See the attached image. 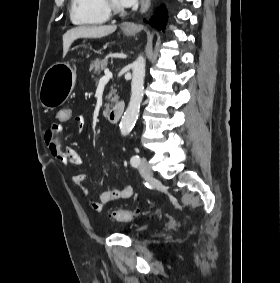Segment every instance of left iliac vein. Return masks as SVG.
I'll return each instance as SVG.
<instances>
[{
    "instance_id": "obj_1",
    "label": "left iliac vein",
    "mask_w": 280,
    "mask_h": 283,
    "mask_svg": "<svg viewBox=\"0 0 280 283\" xmlns=\"http://www.w3.org/2000/svg\"><path fill=\"white\" fill-rule=\"evenodd\" d=\"M139 172H140L141 176L144 177V178L152 177V170H151L150 165L148 164V162L145 158H141V160H140Z\"/></svg>"
}]
</instances>
